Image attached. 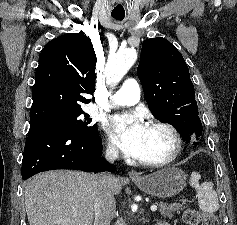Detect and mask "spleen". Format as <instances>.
Instances as JSON below:
<instances>
[{
	"label": "spleen",
	"mask_w": 237,
	"mask_h": 225,
	"mask_svg": "<svg viewBox=\"0 0 237 225\" xmlns=\"http://www.w3.org/2000/svg\"><path fill=\"white\" fill-rule=\"evenodd\" d=\"M201 175L197 172L191 173L190 185L196 189L199 208L206 213H213L219 209L217 193L213 190L212 182H204L199 185Z\"/></svg>",
	"instance_id": "1"
}]
</instances>
